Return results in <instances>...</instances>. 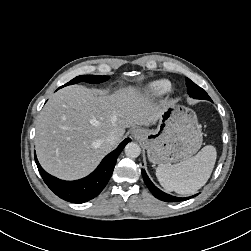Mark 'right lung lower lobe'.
<instances>
[{"label": "right lung lower lobe", "mask_w": 251, "mask_h": 251, "mask_svg": "<svg viewBox=\"0 0 251 251\" xmlns=\"http://www.w3.org/2000/svg\"><path fill=\"white\" fill-rule=\"evenodd\" d=\"M130 141V138H126L90 175L76 181H64L48 174L40 166L36 155L35 162L44 182L58 197L72 203H84L98 196L104 189L113 173L118 155Z\"/></svg>", "instance_id": "right-lung-lower-lobe-1"}]
</instances>
